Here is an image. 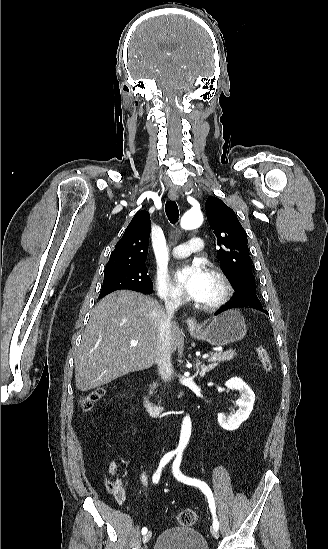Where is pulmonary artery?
Wrapping results in <instances>:
<instances>
[{
    "mask_svg": "<svg viewBox=\"0 0 328 549\" xmlns=\"http://www.w3.org/2000/svg\"><path fill=\"white\" fill-rule=\"evenodd\" d=\"M187 246H176L172 255L175 258H185L190 256L193 252H204L206 250V243L201 241L200 237H188L186 240Z\"/></svg>",
    "mask_w": 328,
    "mask_h": 549,
    "instance_id": "pulmonary-artery-1",
    "label": "pulmonary artery"
}]
</instances>
